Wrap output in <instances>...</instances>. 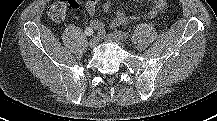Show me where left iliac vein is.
<instances>
[{
  "instance_id": "4c4485c4",
  "label": "left iliac vein",
  "mask_w": 217,
  "mask_h": 121,
  "mask_svg": "<svg viewBox=\"0 0 217 121\" xmlns=\"http://www.w3.org/2000/svg\"><path fill=\"white\" fill-rule=\"evenodd\" d=\"M106 39L110 42H114V43H117V44L123 46L122 39H120L115 33H110V34L106 35Z\"/></svg>"
}]
</instances>
